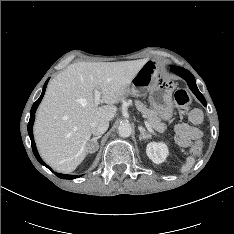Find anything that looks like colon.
Masks as SVG:
<instances>
[{
	"label": "colon",
	"instance_id": "5ec220e1",
	"mask_svg": "<svg viewBox=\"0 0 234 234\" xmlns=\"http://www.w3.org/2000/svg\"><path fill=\"white\" fill-rule=\"evenodd\" d=\"M175 103L181 114H187L190 111L191 97L188 92L184 89H179L174 95ZM203 149V142L201 140L195 141L191 148L190 153L194 156L201 154Z\"/></svg>",
	"mask_w": 234,
	"mask_h": 234
}]
</instances>
